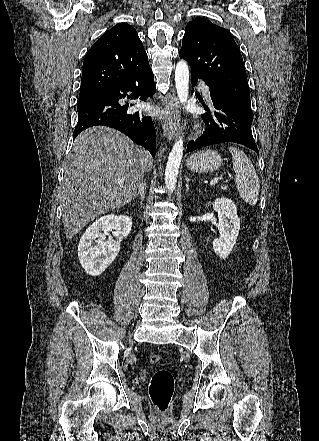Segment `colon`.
<instances>
[{
	"label": "colon",
	"mask_w": 319,
	"mask_h": 441,
	"mask_svg": "<svg viewBox=\"0 0 319 441\" xmlns=\"http://www.w3.org/2000/svg\"><path fill=\"white\" fill-rule=\"evenodd\" d=\"M148 361L150 364L156 365L162 361V357L158 354H151L148 356ZM174 385V376L168 369H158L151 377L149 394L160 416L167 412L174 393Z\"/></svg>",
	"instance_id": "5ec220e1"
}]
</instances>
